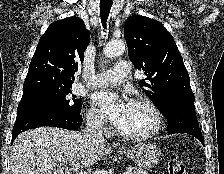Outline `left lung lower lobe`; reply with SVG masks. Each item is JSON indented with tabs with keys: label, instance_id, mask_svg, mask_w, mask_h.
Segmentation results:
<instances>
[{
	"label": "left lung lower lobe",
	"instance_id": "obj_1",
	"mask_svg": "<svg viewBox=\"0 0 224 174\" xmlns=\"http://www.w3.org/2000/svg\"><path fill=\"white\" fill-rule=\"evenodd\" d=\"M168 121L167 133H187L196 137L204 145V139L198 125L194 101H178L165 115Z\"/></svg>",
	"mask_w": 224,
	"mask_h": 174
}]
</instances>
